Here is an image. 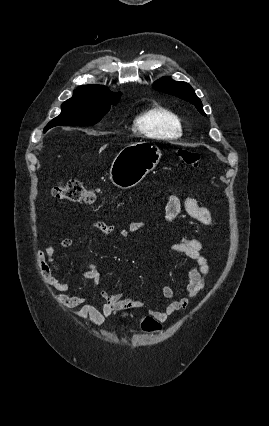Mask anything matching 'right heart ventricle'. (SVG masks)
I'll use <instances>...</instances> for the list:
<instances>
[{
  "label": "right heart ventricle",
  "instance_id": "e07e8e85",
  "mask_svg": "<svg viewBox=\"0 0 269 426\" xmlns=\"http://www.w3.org/2000/svg\"><path fill=\"white\" fill-rule=\"evenodd\" d=\"M136 128L147 137L171 139L181 134L177 115L164 107H152L141 113L135 120Z\"/></svg>",
  "mask_w": 269,
  "mask_h": 426
}]
</instances>
